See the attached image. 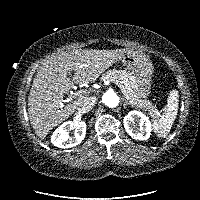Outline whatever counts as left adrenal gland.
Listing matches in <instances>:
<instances>
[{
	"instance_id": "1",
	"label": "left adrenal gland",
	"mask_w": 200,
	"mask_h": 200,
	"mask_svg": "<svg viewBox=\"0 0 200 200\" xmlns=\"http://www.w3.org/2000/svg\"><path fill=\"white\" fill-rule=\"evenodd\" d=\"M123 106L126 108L127 105H131L132 107L134 106L131 101H128L125 97L123 98Z\"/></svg>"
}]
</instances>
